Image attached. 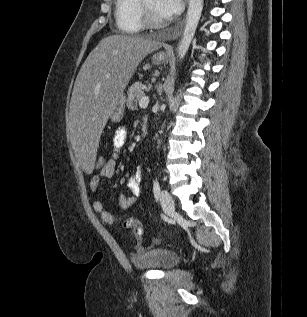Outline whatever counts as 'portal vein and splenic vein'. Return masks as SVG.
Instances as JSON below:
<instances>
[{
	"mask_svg": "<svg viewBox=\"0 0 307 317\" xmlns=\"http://www.w3.org/2000/svg\"><path fill=\"white\" fill-rule=\"evenodd\" d=\"M149 104V97L148 96H143L140 100H139V106L141 108H145L147 107Z\"/></svg>",
	"mask_w": 307,
	"mask_h": 317,
	"instance_id": "1",
	"label": "portal vein and splenic vein"
}]
</instances>
